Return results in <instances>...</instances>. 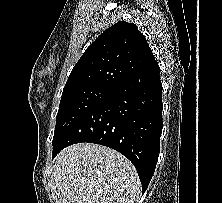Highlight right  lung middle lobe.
<instances>
[{"mask_svg":"<svg viewBox=\"0 0 222 203\" xmlns=\"http://www.w3.org/2000/svg\"><path fill=\"white\" fill-rule=\"evenodd\" d=\"M112 91L102 87L64 89L56 117L53 144L76 121L103 102Z\"/></svg>","mask_w":222,"mask_h":203,"instance_id":"dd1d6c3e","label":"right lung middle lobe"}]
</instances>
